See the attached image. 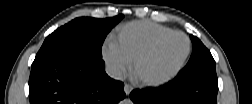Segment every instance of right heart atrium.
I'll return each mask as SVG.
<instances>
[{
    "label": "right heart atrium",
    "instance_id": "obj_1",
    "mask_svg": "<svg viewBox=\"0 0 252 104\" xmlns=\"http://www.w3.org/2000/svg\"><path fill=\"white\" fill-rule=\"evenodd\" d=\"M106 59L117 74L126 72L129 68V60H127L114 46L109 44L106 48Z\"/></svg>",
    "mask_w": 252,
    "mask_h": 104
}]
</instances>
